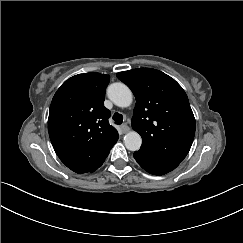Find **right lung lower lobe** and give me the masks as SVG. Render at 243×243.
<instances>
[{"label":"right lung lower lobe","mask_w":243,"mask_h":243,"mask_svg":"<svg viewBox=\"0 0 243 243\" xmlns=\"http://www.w3.org/2000/svg\"><path fill=\"white\" fill-rule=\"evenodd\" d=\"M104 161H102L96 168H94L92 171H90V172H93V171H95L98 167H100V165H102V163H103Z\"/></svg>","instance_id":"98d812e1"}]
</instances>
